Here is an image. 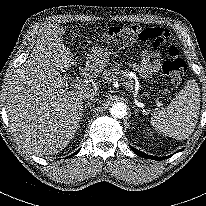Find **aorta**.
Returning a JSON list of instances; mask_svg holds the SVG:
<instances>
[{
	"instance_id": "762f6f07",
	"label": "aorta",
	"mask_w": 206,
	"mask_h": 206,
	"mask_svg": "<svg viewBox=\"0 0 206 206\" xmlns=\"http://www.w3.org/2000/svg\"><path fill=\"white\" fill-rule=\"evenodd\" d=\"M110 114L115 118H123L126 115V105L124 103H115L110 108Z\"/></svg>"
}]
</instances>
